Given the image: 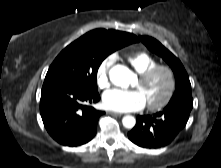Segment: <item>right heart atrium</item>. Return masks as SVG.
Here are the masks:
<instances>
[{"label": "right heart atrium", "instance_id": "right-heart-atrium-1", "mask_svg": "<svg viewBox=\"0 0 221 168\" xmlns=\"http://www.w3.org/2000/svg\"><path fill=\"white\" fill-rule=\"evenodd\" d=\"M115 59V55L111 54L99 64L96 71V82L100 89H106L110 86L109 72Z\"/></svg>", "mask_w": 221, "mask_h": 168}]
</instances>
